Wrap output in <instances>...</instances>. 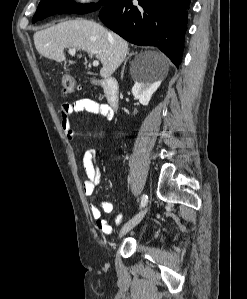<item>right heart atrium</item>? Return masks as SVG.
<instances>
[{
  "label": "right heart atrium",
  "instance_id": "obj_1",
  "mask_svg": "<svg viewBox=\"0 0 247 299\" xmlns=\"http://www.w3.org/2000/svg\"><path fill=\"white\" fill-rule=\"evenodd\" d=\"M95 2V0H76V3L81 6H87Z\"/></svg>",
  "mask_w": 247,
  "mask_h": 299
}]
</instances>
